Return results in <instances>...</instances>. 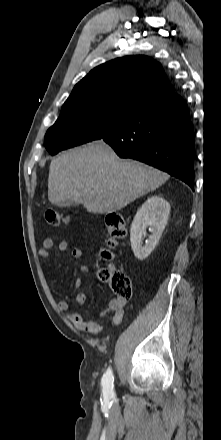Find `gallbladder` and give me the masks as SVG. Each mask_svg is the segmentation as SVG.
<instances>
[{
  "label": "gallbladder",
  "instance_id": "obj_1",
  "mask_svg": "<svg viewBox=\"0 0 221 440\" xmlns=\"http://www.w3.org/2000/svg\"><path fill=\"white\" fill-rule=\"evenodd\" d=\"M78 205L77 202L74 201H61L57 204L59 207H70V206H76Z\"/></svg>",
  "mask_w": 221,
  "mask_h": 440
}]
</instances>
